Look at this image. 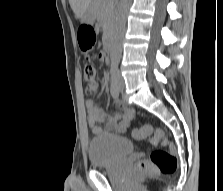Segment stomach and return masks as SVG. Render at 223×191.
Segmentation results:
<instances>
[{"mask_svg":"<svg viewBox=\"0 0 223 191\" xmlns=\"http://www.w3.org/2000/svg\"><path fill=\"white\" fill-rule=\"evenodd\" d=\"M81 21L88 24L95 21V14L90 7L82 14Z\"/></svg>","mask_w":223,"mask_h":191,"instance_id":"obj_1","label":"stomach"}]
</instances>
